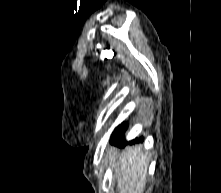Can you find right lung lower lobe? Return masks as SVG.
<instances>
[{
    "instance_id": "98d812e1",
    "label": "right lung lower lobe",
    "mask_w": 221,
    "mask_h": 193,
    "mask_svg": "<svg viewBox=\"0 0 221 193\" xmlns=\"http://www.w3.org/2000/svg\"><path fill=\"white\" fill-rule=\"evenodd\" d=\"M138 141H143V137H141V138H139V139L137 138V139H135V140H132V143H133V142H138ZM111 143L114 144V145L120 146V147H122V146L125 145V142H124V140H123V137H121V138H119V139H116V140H114V141H111Z\"/></svg>"
}]
</instances>
